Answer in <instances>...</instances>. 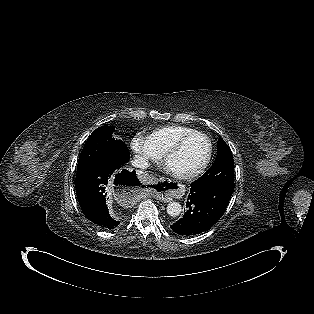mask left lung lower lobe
<instances>
[{
    "mask_svg": "<svg viewBox=\"0 0 314 314\" xmlns=\"http://www.w3.org/2000/svg\"><path fill=\"white\" fill-rule=\"evenodd\" d=\"M234 183L191 184L186 203L187 212L170 228L179 235H195L208 231L224 214Z\"/></svg>",
    "mask_w": 314,
    "mask_h": 314,
    "instance_id": "0a47b994",
    "label": "left lung lower lobe"
}]
</instances>
